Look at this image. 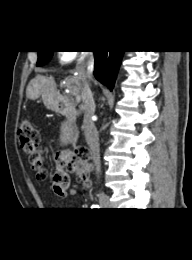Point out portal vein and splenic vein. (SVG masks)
<instances>
[{
	"mask_svg": "<svg viewBox=\"0 0 192 260\" xmlns=\"http://www.w3.org/2000/svg\"><path fill=\"white\" fill-rule=\"evenodd\" d=\"M70 93H71L72 95H76V94H77L76 90H71Z\"/></svg>",
	"mask_w": 192,
	"mask_h": 260,
	"instance_id": "obj_1",
	"label": "portal vein and splenic vein"
}]
</instances>
